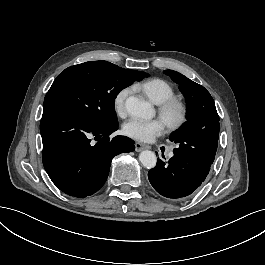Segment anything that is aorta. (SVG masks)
I'll return each mask as SVG.
<instances>
[{"label":"aorta","instance_id":"762f6f07","mask_svg":"<svg viewBox=\"0 0 265 265\" xmlns=\"http://www.w3.org/2000/svg\"><path fill=\"white\" fill-rule=\"evenodd\" d=\"M125 107L129 115L138 118L149 119L153 112L150 103L134 96L126 99ZM139 161L145 168L152 169L156 166L157 157L153 151L144 150L139 154Z\"/></svg>","mask_w":265,"mask_h":265}]
</instances>
